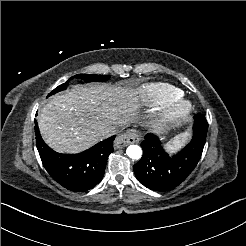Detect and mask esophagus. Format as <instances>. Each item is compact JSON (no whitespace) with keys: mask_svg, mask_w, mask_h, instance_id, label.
I'll return each mask as SVG.
<instances>
[{"mask_svg":"<svg viewBox=\"0 0 246 246\" xmlns=\"http://www.w3.org/2000/svg\"><path fill=\"white\" fill-rule=\"evenodd\" d=\"M139 141L140 137L138 132L135 129H130L116 138L114 148H123L128 144L138 143Z\"/></svg>","mask_w":246,"mask_h":246,"instance_id":"obj_1","label":"esophagus"}]
</instances>
